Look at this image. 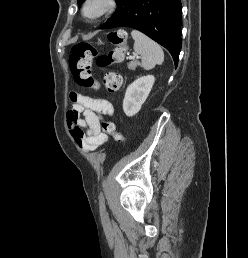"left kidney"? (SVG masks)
<instances>
[{
  "instance_id": "5707ae66",
  "label": "left kidney",
  "mask_w": 248,
  "mask_h": 258,
  "mask_svg": "<svg viewBox=\"0 0 248 258\" xmlns=\"http://www.w3.org/2000/svg\"><path fill=\"white\" fill-rule=\"evenodd\" d=\"M154 81L153 75H146L136 79L127 87L123 100V110L128 117L134 116L140 111L142 104L146 101L152 89Z\"/></svg>"
}]
</instances>
